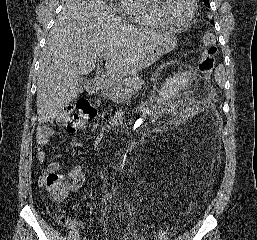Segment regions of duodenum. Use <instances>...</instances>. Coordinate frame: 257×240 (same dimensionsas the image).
<instances>
[{"mask_svg": "<svg viewBox=\"0 0 257 240\" xmlns=\"http://www.w3.org/2000/svg\"><path fill=\"white\" fill-rule=\"evenodd\" d=\"M98 86H99V81L98 80H93L89 86H88V92L90 93H94L97 89H98Z\"/></svg>", "mask_w": 257, "mask_h": 240, "instance_id": "obj_1", "label": "duodenum"}]
</instances>
